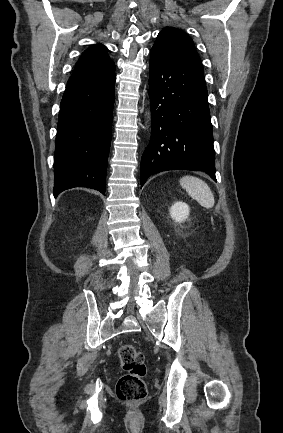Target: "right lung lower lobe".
<instances>
[{
    "instance_id": "98d812e1",
    "label": "right lung lower lobe",
    "mask_w": 283,
    "mask_h": 433,
    "mask_svg": "<svg viewBox=\"0 0 283 433\" xmlns=\"http://www.w3.org/2000/svg\"><path fill=\"white\" fill-rule=\"evenodd\" d=\"M116 76L66 88L58 118L54 197L88 187L105 195Z\"/></svg>"
}]
</instances>
